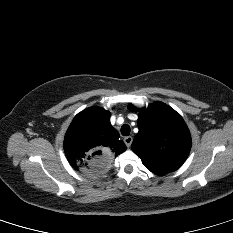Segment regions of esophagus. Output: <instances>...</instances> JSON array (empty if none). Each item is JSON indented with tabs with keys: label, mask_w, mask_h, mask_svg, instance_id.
<instances>
[{
	"label": "esophagus",
	"mask_w": 233,
	"mask_h": 233,
	"mask_svg": "<svg viewBox=\"0 0 233 233\" xmlns=\"http://www.w3.org/2000/svg\"><path fill=\"white\" fill-rule=\"evenodd\" d=\"M133 138L131 136H127L124 138V143L126 144L127 147H130L132 144Z\"/></svg>",
	"instance_id": "esophagus-1"
}]
</instances>
